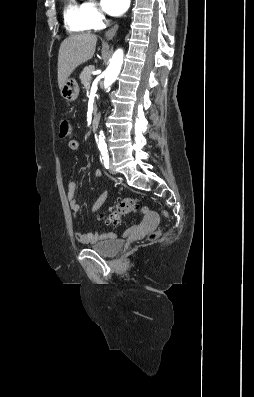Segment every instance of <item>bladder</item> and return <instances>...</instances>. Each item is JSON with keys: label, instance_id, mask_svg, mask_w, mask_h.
I'll list each match as a JSON object with an SVG mask.
<instances>
[{"label": "bladder", "instance_id": "31cf9c89", "mask_svg": "<svg viewBox=\"0 0 254 397\" xmlns=\"http://www.w3.org/2000/svg\"><path fill=\"white\" fill-rule=\"evenodd\" d=\"M122 248V243L118 239H110L99 242L91 246V249L104 257L116 256Z\"/></svg>", "mask_w": 254, "mask_h": 397}]
</instances>
